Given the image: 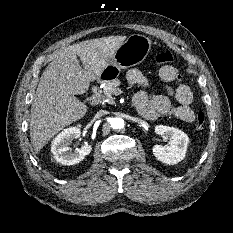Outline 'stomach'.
I'll list each match as a JSON object with an SVG mask.
<instances>
[{
  "instance_id": "obj_1",
  "label": "stomach",
  "mask_w": 233,
  "mask_h": 233,
  "mask_svg": "<svg viewBox=\"0 0 233 233\" xmlns=\"http://www.w3.org/2000/svg\"><path fill=\"white\" fill-rule=\"evenodd\" d=\"M151 46L152 41L148 37L140 34L130 35L115 51L104 71L109 66H113L120 70L140 64L147 57L151 50ZM104 71L100 75L99 80L107 82L103 76Z\"/></svg>"
}]
</instances>
